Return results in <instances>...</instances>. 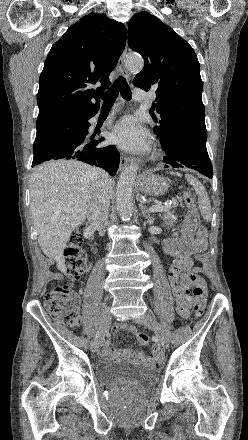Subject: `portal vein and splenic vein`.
Returning a JSON list of instances; mask_svg holds the SVG:
<instances>
[{
	"label": "portal vein and splenic vein",
	"mask_w": 248,
	"mask_h": 440,
	"mask_svg": "<svg viewBox=\"0 0 248 440\" xmlns=\"http://www.w3.org/2000/svg\"><path fill=\"white\" fill-rule=\"evenodd\" d=\"M170 207L168 204H161V203H157L155 205H152L149 210L151 212H165L167 210H169Z\"/></svg>",
	"instance_id": "obj_1"
}]
</instances>
